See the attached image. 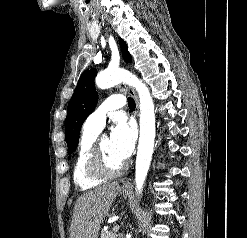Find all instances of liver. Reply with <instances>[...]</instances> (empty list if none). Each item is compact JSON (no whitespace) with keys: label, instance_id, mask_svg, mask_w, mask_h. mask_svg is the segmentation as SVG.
I'll use <instances>...</instances> for the list:
<instances>
[{"label":"liver","instance_id":"6515ba94","mask_svg":"<svg viewBox=\"0 0 247 238\" xmlns=\"http://www.w3.org/2000/svg\"><path fill=\"white\" fill-rule=\"evenodd\" d=\"M120 191L121 186L114 182L79 196L74 207L70 238H97L100 225Z\"/></svg>","mask_w":247,"mask_h":238}]
</instances>
